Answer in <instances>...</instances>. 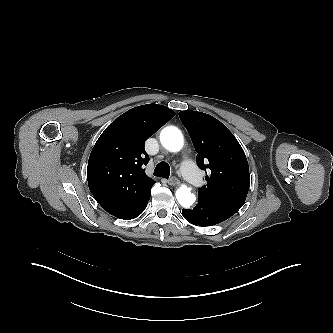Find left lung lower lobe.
Returning <instances> with one entry per match:
<instances>
[{"mask_svg":"<svg viewBox=\"0 0 333 333\" xmlns=\"http://www.w3.org/2000/svg\"><path fill=\"white\" fill-rule=\"evenodd\" d=\"M182 213L187 221L199 226L215 225L232 216L226 210L201 198H198V204L194 209H183Z\"/></svg>","mask_w":333,"mask_h":333,"instance_id":"left-lung-lower-lobe-1","label":"left lung lower lobe"}]
</instances>
